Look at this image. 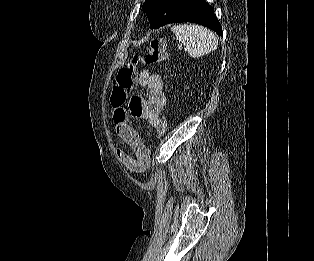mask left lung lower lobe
Listing matches in <instances>:
<instances>
[{
    "instance_id": "1",
    "label": "left lung lower lobe",
    "mask_w": 314,
    "mask_h": 261,
    "mask_svg": "<svg viewBox=\"0 0 314 261\" xmlns=\"http://www.w3.org/2000/svg\"><path fill=\"white\" fill-rule=\"evenodd\" d=\"M194 22L214 30L222 36V27L217 20L213 8L204 0H184L167 23Z\"/></svg>"
}]
</instances>
